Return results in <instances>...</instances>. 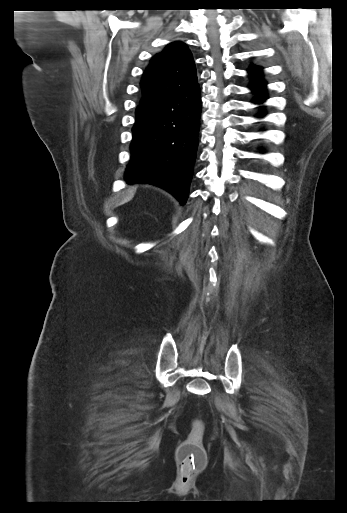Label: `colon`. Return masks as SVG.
Masks as SVG:
<instances>
[{
  "instance_id": "obj_1",
  "label": "colon",
  "mask_w": 347,
  "mask_h": 513,
  "mask_svg": "<svg viewBox=\"0 0 347 513\" xmlns=\"http://www.w3.org/2000/svg\"><path fill=\"white\" fill-rule=\"evenodd\" d=\"M203 435V424L195 420L192 423L189 437L180 448V467L189 474L201 470L205 465L206 456L202 446Z\"/></svg>"
}]
</instances>
